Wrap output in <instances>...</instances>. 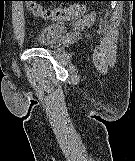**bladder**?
Returning a JSON list of instances; mask_svg holds the SVG:
<instances>
[{"label":"bladder","mask_w":135,"mask_h":161,"mask_svg":"<svg viewBox=\"0 0 135 161\" xmlns=\"http://www.w3.org/2000/svg\"><path fill=\"white\" fill-rule=\"evenodd\" d=\"M65 26L60 23L45 25L38 33L35 42L38 46L47 47L56 43L64 34Z\"/></svg>","instance_id":"bladder-1"}]
</instances>
